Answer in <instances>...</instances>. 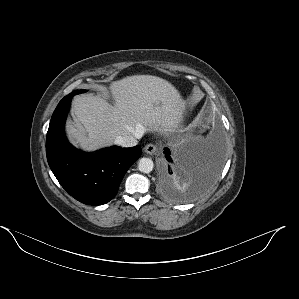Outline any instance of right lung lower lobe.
<instances>
[{
	"instance_id": "obj_1",
	"label": "right lung lower lobe",
	"mask_w": 299,
	"mask_h": 299,
	"mask_svg": "<svg viewBox=\"0 0 299 299\" xmlns=\"http://www.w3.org/2000/svg\"><path fill=\"white\" fill-rule=\"evenodd\" d=\"M72 97L65 96L52 115L46 138L48 164L72 197L84 204L102 205L117 194L125 173L142 150L140 146H113L93 154L73 147L64 132Z\"/></svg>"
}]
</instances>
